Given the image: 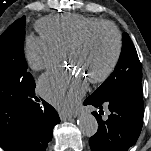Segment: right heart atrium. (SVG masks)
<instances>
[{
    "label": "right heart atrium",
    "instance_id": "obj_1",
    "mask_svg": "<svg viewBox=\"0 0 151 151\" xmlns=\"http://www.w3.org/2000/svg\"><path fill=\"white\" fill-rule=\"evenodd\" d=\"M25 57L29 66L39 71L56 65L62 52L42 36H30L25 43Z\"/></svg>",
    "mask_w": 151,
    "mask_h": 151
}]
</instances>
